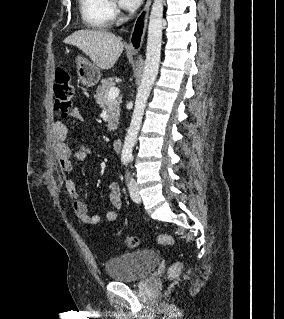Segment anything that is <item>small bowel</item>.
Masks as SVG:
<instances>
[{"label":"small bowel","instance_id":"obj_1","mask_svg":"<svg viewBox=\"0 0 284 319\" xmlns=\"http://www.w3.org/2000/svg\"><path fill=\"white\" fill-rule=\"evenodd\" d=\"M71 117L77 122L83 121V117L77 109H74L72 111ZM69 127L70 125L62 121H55L52 127L58 165L60 170L66 174H70L73 170V158L78 161H85L91 154L90 149L86 146L78 147L74 153L71 151L70 147L67 144ZM65 187L68 194L75 199L73 201L72 207L75 215L83 223L90 225H99L102 222L111 223L117 219V210H119L122 206L121 190L118 184L111 183L108 187L109 201L112 209L107 211L103 217L97 214L91 215L89 213L86 203L78 199V188L72 178H66Z\"/></svg>","mask_w":284,"mask_h":319}]
</instances>
